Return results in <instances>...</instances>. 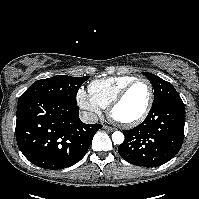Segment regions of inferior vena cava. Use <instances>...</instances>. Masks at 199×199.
Here are the masks:
<instances>
[{
  "mask_svg": "<svg viewBox=\"0 0 199 199\" xmlns=\"http://www.w3.org/2000/svg\"><path fill=\"white\" fill-rule=\"evenodd\" d=\"M80 119L83 123L86 124H95L98 122V117L93 112H87V111L82 112Z\"/></svg>",
  "mask_w": 199,
  "mask_h": 199,
  "instance_id": "inferior-vena-cava-1",
  "label": "inferior vena cava"
}]
</instances>
